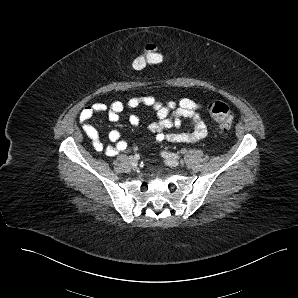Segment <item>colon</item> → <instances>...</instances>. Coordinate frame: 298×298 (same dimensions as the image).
Here are the masks:
<instances>
[{"label":"colon","instance_id":"5ec220e1","mask_svg":"<svg viewBox=\"0 0 298 298\" xmlns=\"http://www.w3.org/2000/svg\"><path fill=\"white\" fill-rule=\"evenodd\" d=\"M162 62V56L155 44H147L142 51L135 57L133 67L136 70H142L148 65L159 64ZM208 113L219 126L227 130L234 120L232 109L222 101H212L207 106Z\"/></svg>","mask_w":298,"mask_h":298}]
</instances>
